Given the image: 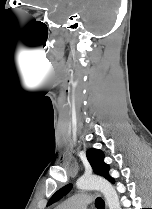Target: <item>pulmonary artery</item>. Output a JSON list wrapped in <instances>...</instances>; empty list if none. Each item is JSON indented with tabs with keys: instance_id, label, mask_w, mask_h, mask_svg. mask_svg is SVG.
I'll return each instance as SVG.
<instances>
[{
	"instance_id": "1",
	"label": "pulmonary artery",
	"mask_w": 152,
	"mask_h": 209,
	"mask_svg": "<svg viewBox=\"0 0 152 209\" xmlns=\"http://www.w3.org/2000/svg\"><path fill=\"white\" fill-rule=\"evenodd\" d=\"M92 201V196L82 193L66 200L64 203H62L59 209H86L87 206L92 203Z\"/></svg>"
}]
</instances>
